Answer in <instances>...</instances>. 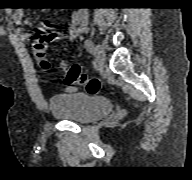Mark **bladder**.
I'll use <instances>...</instances> for the list:
<instances>
[{
  "instance_id": "obj_1",
  "label": "bladder",
  "mask_w": 192,
  "mask_h": 180,
  "mask_svg": "<svg viewBox=\"0 0 192 180\" xmlns=\"http://www.w3.org/2000/svg\"><path fill=\"white\" fill-rule=\"evenodd\" d=\"M49 109L56 120L87 124L110 114L113 104L105 97L66 93L51 97Z\"/></svg>"
}]
</instances>
